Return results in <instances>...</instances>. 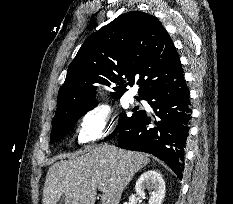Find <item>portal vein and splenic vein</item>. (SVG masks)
I'll return each instance as SVG.
<instances>
[{"label": "portal vein and splenic vein", "instance_id": "obj_1", "mask_svg": "<svg viewBox=\"0 0 233 204\" xmlns=\"http://www.w3.org/2000/svg\"><path fill=\"white\" fill-rule=\"evenodd\" d=\"M98 189H99V190H103V186H99Z\"/></svg>", "mask_w": 233, "mask_h": 204}]
</instances>
